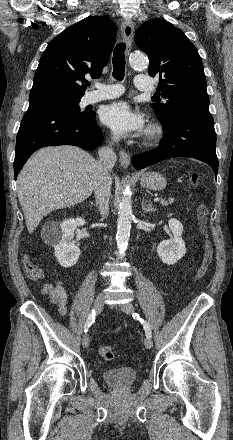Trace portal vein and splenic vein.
I'll return each mask as SVG.
<instances>
[{
    "instance_id": "18ae733b",
    "label": "portal vein and splenic vein",
    "mask_w": 233,
    "mask_h": 440,
    "mask_svg": "<svg viewBox=\"0 0 233 440\" xmlns=\"http://www.w3.org/2000/svg\"><path fill=\"white\" fill-rule=\"evenodd\" d=\"M160 200V198H156L155 200H154V202H158Z\"/></svg>"
}]
</instances>
